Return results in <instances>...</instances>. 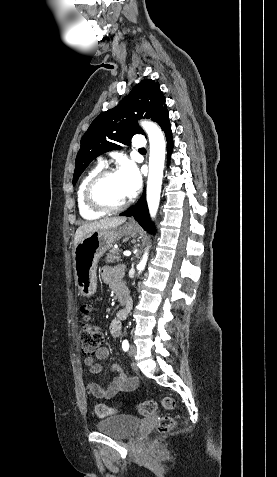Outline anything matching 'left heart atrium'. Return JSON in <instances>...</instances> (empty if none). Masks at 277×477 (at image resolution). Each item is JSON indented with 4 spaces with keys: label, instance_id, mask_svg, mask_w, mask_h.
<instances>
[{
    "label": "left heart atrium",
    "instance_id": "39dd6f15",
    "mask_svg": "<svg viewBox=\"0 0 277 477\" xmlns=\"http://www.w3.org/2000/svg\"><path fill=\"white\" fill-rule=\"evenodd\" d=\"M121 179L125 195L127 197H133L137 194L142 178L137 166L131 162H124L117 172Z\"/></svg>",
    "mask_w": 277,
    "mask_h": 477
}]
</instances>
